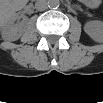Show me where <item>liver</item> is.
Instances as JSON below:
<instances>
[{
	"label": "liver",
	"mask_w": 103,
	"mask_h": 103,
	"mask_svg": "<svg viewBox=\"0 0 103 103\" xmlns=\"http://www.w3.org/2000/svg\"><path fill=\"white\" fill-rule=\"evenodd\" d=\"M26 4V1L23 0H9L4 1L2 4L1 15L4 20L9 19L15 15V12L21 10Z\"/></svg>",
	"instance_id": "obj_1"
}]
</instances>
